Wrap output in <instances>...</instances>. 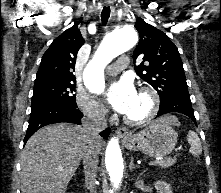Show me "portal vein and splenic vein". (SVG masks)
<instances>
[{
	"mask_svg": "<svg viewBox=\"0 0 221 193\" xmlns=\"http://www.w3.org/2000/svg\"><path fill=\"white\" fill-rule=\"evenodd\" d=\"M161 160H163V158H158L156 161H150L148 164L149 165H154L155 163H157V162H159ZM60 170H63V169H60Z\"/></svg>",
	"mask_w": 221,
	"mask_h": 193,
	"instance_id": "obj_1",
	"label": "portal vein and splenic vein"
}]
</instances>
